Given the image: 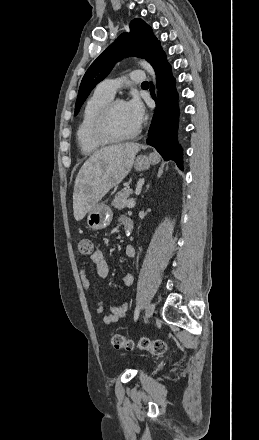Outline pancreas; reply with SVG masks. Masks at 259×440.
<instances>
[{
  "mask_svg": "<svg viewBox=\"0 0 259 440\" xmlns=\"http://www.w3.org/2000/svg\"><path fill=\"white\" fill-rule=\"evenodd\" d=\"M132 193V189H126L119 192L112 201V206L118 210L124 209L127 206L128 201L130 200L128 198Z\"/></svg>",
  "mask_w": 259,
  "mask_h": 440,
  "instance_id": "obj_1",
  "label": "pancreas"
}]
</instances>
